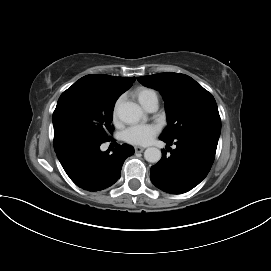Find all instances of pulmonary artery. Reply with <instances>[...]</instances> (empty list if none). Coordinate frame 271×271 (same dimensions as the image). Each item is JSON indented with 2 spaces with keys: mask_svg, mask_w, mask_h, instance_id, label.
<instances>
[{
  "mask_svg": "<svg viewBox=\"0 0 271 271\" xmlns=\"http://www.w3.org/2000/svg\"><path fill=\"white\" fill-rule=\"evenodd\" d=\"M157 108H158V98L155 95L150 101V103L148 104V106L146 107V110L149 112H154L156 111Z\"/></svg>",
  "mask_w": 271,
  "mask_h": 271,
  "instance_id": "pulmonary-artery-1",
  "label": "pulmonary artery"
}]
</instances>
